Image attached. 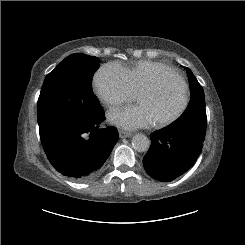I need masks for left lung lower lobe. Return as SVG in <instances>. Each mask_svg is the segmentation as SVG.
<instances>
[{
  "label": "left lung lower lobe",
  "mask_w": 245,
  "mask_h": 245,
  "mask_svg": "<svg viewBox=\"0 0 245 245\" xmlns=\"http://www.w3.org/2000/svg\"><path fill=\"white\" fill-rule=\"evenodd\" d=\"M151 147L143 158L145 171L152 178L168 182L186 173L199 157L203 140L184 132L166 128L150 135Z\"/></svg>",
  "instance_id": "0a47b994"
}]
</instances>
